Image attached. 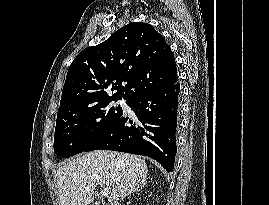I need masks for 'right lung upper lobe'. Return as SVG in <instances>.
<instances>
[{"instance_id":"1","label":"right lung upper lobe","mask_w":269,"mask_h":205,"mask_svg":"<svg viewBox=\"0 0 269 205\" xmlns=\"http://www.w3.org/2000/svg\"><path fill=\"white\" fill-rule=\"evenodd\" d=\"M177 82L174 55L164 37L148 23H129L74 59L57 118L108 100L129 101Z\"/></svg>"}]
</instances>
